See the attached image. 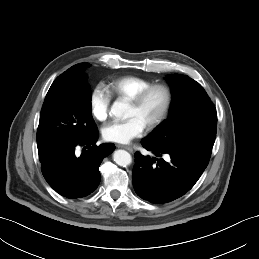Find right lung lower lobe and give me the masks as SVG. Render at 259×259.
Returning a JSON list of instances; mask_svg holds the SVG:
<instances>
[{
    "instance_id": "obj_1",
    "label": "right lung lower lobe",
    "mask_w": 259,
    "mask_h": 259,
    "mask_svg": "<svg viewBox=\"0 0 259 259\" xmlns=\"http://www.w3.org/2000/svg\"><path fill=\"white\" fill-rule=\"evenodd\" d=\"M98 139V130L83 138L78 144L87 145L80 157L75 155V146L45 157H39L42 174L47 183L60 195L77 199L91 194L101 179L98 170L104 157L115 146L112 143L94 145ZM91 145V146H90Z\"/></svg>"
}]
</instances>
